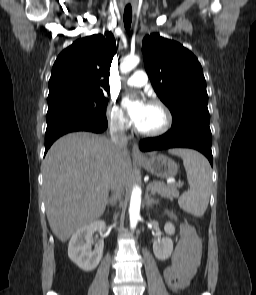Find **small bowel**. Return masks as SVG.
<instances>
[{
	"label": "small bowel",
	"instance_id": "obj_1",
	"mask_svg": "<svg viewBox=\"0 0 256 295\" xmlns=\"http://www.w3.org/2000/svg\"><path fill=\"white\" fill-rule=\"evenodd\" d=\"M173 220L177 217L167 212ZM180 240L177 242L171 264L164 270V279L173 291L182 290L192 278L201 256L200 239L192 225L179 222Z\"/></svg>",
	"mask_w": 256,
	"mask_h": 295
}]
</instances>
